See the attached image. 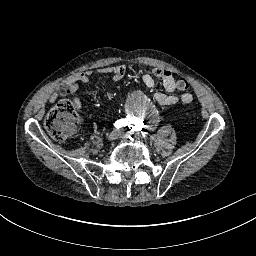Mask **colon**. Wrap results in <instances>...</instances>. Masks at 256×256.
I'll return each instance as SVG.
<instances>
[{
  "label": "colon",
  "mask_w": 256,
  "mask_h": 256,
  "mask_svg": "<svg viewBox=\"0 0 256 256\" xmlns=\"http://www.w3.org/2000/svg\"><path fill=\"white\" fill-rule=\"evenodd\" d=\"M62 91H69L68 85L64 84L61 87ZM189 84L186 79L181 78L178 81V89L186 91ZM75 107L69 100L59 101L50 111L45 120V129L50 137L57 141H64L69 138L74 130Z\"/></svg>",
  "instance_id": "5ec220e1"
}]
</instances>
